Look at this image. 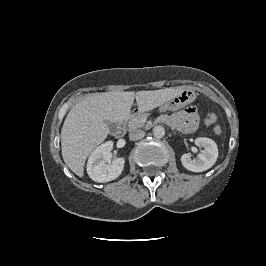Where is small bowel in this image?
I'll use <instances>...</instances> for the list:
<instances>
[{"label": "small bowel", "mask_w": 266, "mask_h": 266, "mask_svg": "<svg viewBox=\"0 0 266 266\" xmlns=\"http://www.w3.org/2000/svg\"><path fill=\"white\" fill-rule=\"evenodd\" d=\"M159 121L183 133L194 132L199 124V117L195 106L191 105L184 110L170 115H162Z\"/></svg>", "instance_id": "1"}]
</instances>
